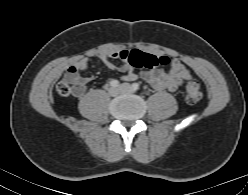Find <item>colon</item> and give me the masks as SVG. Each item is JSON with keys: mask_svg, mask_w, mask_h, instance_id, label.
<instances>
[{"mask_svg": "<svg viewBox=\"0 0 248 195\" xmlns=\"http://www.w3.org/2000/svg\"><path fill=\"white\" fill-rule=\"evenodd\" d=\"M133 68H155L169 64L167 57L156 56L139 50H133L124 57ZM84 91V85L78 73H69L56 85V93L62 97L80 95ZM202 98L200 83L190 77L185 87V100L188 104L198 103Z\"/></svg>", "mask_w": 248, "mask_h": 195, "instance_id": "5ec220e1", "label": "colon"}]
</instances>
